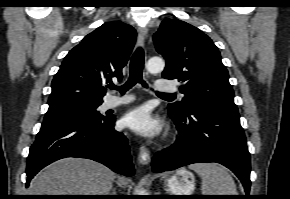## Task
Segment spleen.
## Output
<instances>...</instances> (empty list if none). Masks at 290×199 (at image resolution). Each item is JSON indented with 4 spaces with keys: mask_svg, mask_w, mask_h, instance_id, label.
Here are the masks:
<instances>
[{
    "mask_svg": "<svg viewBox=\"0 0 290 199\" xmlns=\"http://www.w3.org/2000/svg\"><path fill=\"white\" fill-rule=\"evenodd\" d=\"M202 180V195H237L234 180L228 171L216 163H197L189 166Z\"/></svg>",
    "mask_w": 290,
    "mask_h": 199,
    "instance_id": "obj_1",
    "label": "spleen"
}]
</instances>
